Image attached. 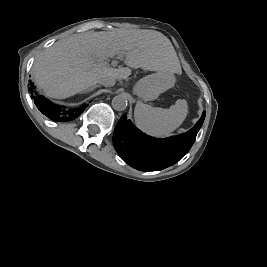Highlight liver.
Wrapping results in <instances>:
<instances>
[{
    "mask_svg": "<svg viewBox=\"0 0 267 267\" xmlns=\"http://www.w3.org/2000/svg\"><path fill=\"white\" fill-rule=\"evenodd\" d=\"M122 54L128 67L104 60ZM180 73L171 41L154 30L86 32L55 42L36 58L32 73L46 95L64 99L93 87L102 77L126 79L130 68Z\"/></svg>",
    "mask_w": 267,
    "mask_h": 267,
    "instance_id": "obj_1",
    "label": "liver"
}]
</instances>
